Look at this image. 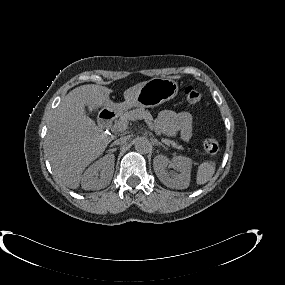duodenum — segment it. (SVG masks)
<instances>
[{
	"mask_svg": "<svg viewBox=\"0 0 285 285\" xmlns=\"http://www.w3.org/2000/svg\"><path fill=\"white\" fill-rule=\"evenodd\" d=\"M116 117H117L116 110H108V111H104L103 113H101L100 115L101 128L108 129Z\"/></svg>",
	"mask_w": 285,
	"mask_h": 285,
	"instance_id": "duodenum-1",
	"label": "duodenum"
}]
</instances>
